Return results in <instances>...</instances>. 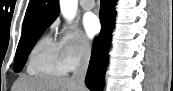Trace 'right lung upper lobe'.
I'll use <instances>...</instances> for the list:
<instances>
[{
    "label": "right lung upper lobe",
    "mask_w": 173,
    "mask_h": 91,
    "mask_svg": "<svg viewBox=\"0 0 173 91\" xmlns=\"http://www.w3.org/2000/svg\"><path fill=\"white\" fill-rule=\"evenodd\" d=\"M59 13L58 0H30L23 22L22 32L40 25H50Z\"/></svg>",
    "instance_id": "obj_1"
}]
</instances>
